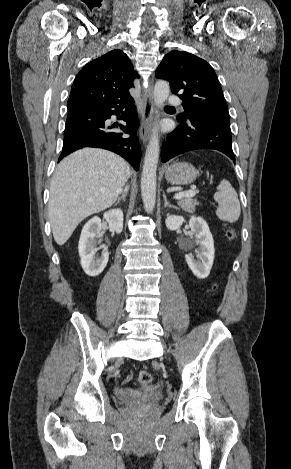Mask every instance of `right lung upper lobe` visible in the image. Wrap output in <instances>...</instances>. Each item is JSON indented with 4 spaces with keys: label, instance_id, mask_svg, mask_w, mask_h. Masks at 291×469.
<instances>
[{
    "label": "right lung upper lobe",
    "instance_id": "cb5924a9",
    "mask_svg": "<svg viewBox=\"0 0 291 469\" xmlns=\"http://www.w3.org/2000/svg\"><path fill=\"white\" fill-rule=\"evenodd\" d=\"M138 74L128 56L112 50L86 64L76 76L67 102L68 110L95 101L131 100L129 89Z\"/></svg>",
    "mask_w": 291,
    "mask_h": 469
}]
</instances>
